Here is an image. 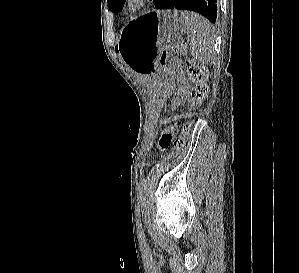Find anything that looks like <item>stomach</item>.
<instances>
[{"label": "stomach", "instance_id": "1", "mask_svg": "<svg viewBox=\"0 0 299 273\" xmlns=\"http://www.w3.org/2000/svg\"><path fill=\"white\" fill-rule=\"evenodd\" d=\"M186 27L177 10L152 11L124 26L116 50L121 61L138 74L149 75L156 95H164L171 86L168 69L161 68L163 43L181 39Z\"/></svg>", "mask_w": 299, "mask_h": 273}]
</instances>
